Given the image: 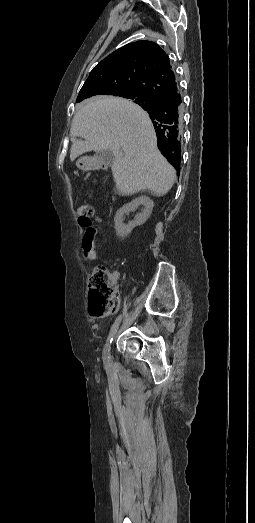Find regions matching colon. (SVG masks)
I'll use <instances>...</instances> for the list:
<instances>
[{
    "mask_svg": "<svg viewBox=\"0 0 255 523\" xmlns=\"http://www.w3.org/2000/svg\"><path fill=\"white\" fill-rule=\"evenodd\" d=\"M93 214V207L89 204H83L77 208L78 220L81 225H88ZM88 304L92 317L110 314L118 306L113 273L104 265L96 266L90 276Z\"/></svg>",
    "mask_w": 255,
    "mask_h": 523,
    "instance_id": "1",
    "label": "colon"
}]
</instances>
